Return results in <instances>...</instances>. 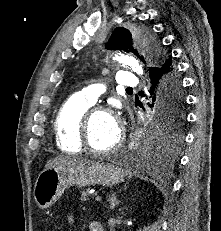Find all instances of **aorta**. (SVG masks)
I'll return each mask as SVG.
<instances>
[{
  "mask_svg": "<svg viewBox=\"0 0 221 231\" xmlns=\"http://www.w3.org/2000/svg\"><path fill=\"white\" fill-rule=\"evenodd\" d=\"M114 60L118 61L119 63L130 67L134 72L138 75H143V68L140 65L139 61L136 60L134 57L125 55L122 53H118L115 55Z\"/></svg>",
  "mask_w": 221,
  "mask_h": 231,
  "instance_id": "obj_1",
  "label": "aorta"
}]
</instances>
